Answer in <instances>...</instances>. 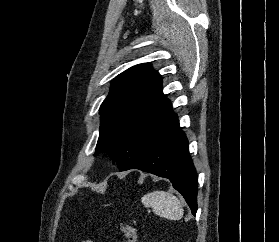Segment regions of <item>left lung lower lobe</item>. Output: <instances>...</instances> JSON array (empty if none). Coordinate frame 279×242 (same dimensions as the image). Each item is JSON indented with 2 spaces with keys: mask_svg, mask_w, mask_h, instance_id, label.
Listing matches in <instances>:
<instances>
[{
  "mask_svg": "<svg viewBox=\"0 0 279 242\" xmlns=\"http://www.w3.org/2000/svg\"><path fill=\"white\" fill-rule=\"evenodd\" d=\"M140 169L169 179L185 198L193 215L197 211V174L189 155L188 140L177 123L125 170ZM124 170V171H125Z\"/></svg>",
  "mask_w": 279,
  "mask_h": 242,
  "instance_id": "left-lung-lower-lobe-1",
  "label": "left lung lower lobe"
}]
</instances>
